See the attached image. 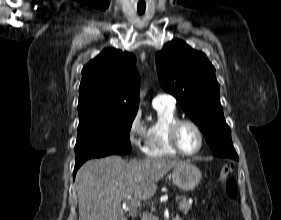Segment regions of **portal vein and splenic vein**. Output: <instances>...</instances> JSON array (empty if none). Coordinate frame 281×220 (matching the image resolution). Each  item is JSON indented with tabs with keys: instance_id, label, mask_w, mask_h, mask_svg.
Here are the masks:
<instances>
[{
	"instance_id": "obj_1",
	"label": "portal vein and splenic vein",
	"mask_w": 281,
	"mask_h": 220,
	"mask_svg": "<svg viewBox=\"0 0 281 220\" xmlns=\"http://www.w3.org/2000/svg\"><path fill=\"white\" fill-rule=\"evenodd\" d=\"M126 199L128 201H130L131 206H133V207H140L141 206V202L139 200L132 199L131 195H128ZM179 200H180V197L177 196L175 198V201H179Z\"/></svg>"
}]
</instances>
